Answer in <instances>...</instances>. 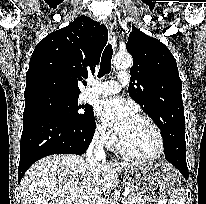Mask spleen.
<instances>
[{"label": "spleen", "mask_w": 206, "mask_h": 204, "mask_svg": "<svg viewBox=\"0 0 206 204\" xmlns=\"http://www.w3.org/2000/svg\"><path fill=\"white\" fill-rule=\"evenodd\" d=\"M184 195V190L182 188L173 191L169 196L168 204H185Z\"/></svg>", "instance_id": "1"}]
</instances>
